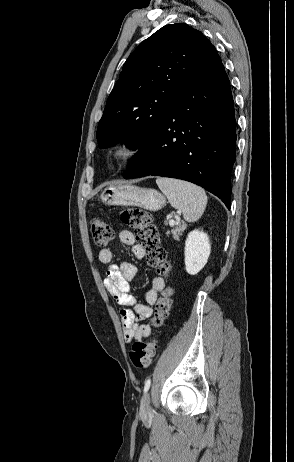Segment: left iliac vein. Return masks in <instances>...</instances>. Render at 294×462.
<instances>
[{
    "label": "left iliac vein",
    "instance_id": "4c4485c4",
    "mask_svg": "<svg viewBox=\"0 0 294 462\" xmlns=\"http://www.w3.org/2000/svg\"><path fill=\"white\" fill-rule=\"evenodd\" d=\"M140 413L142 415H148L151 413L150 396L148 393H146L141 400Z\"/></svg>",
    "mask_w": 294,
    "mask_h": 462
}]
</instances>
